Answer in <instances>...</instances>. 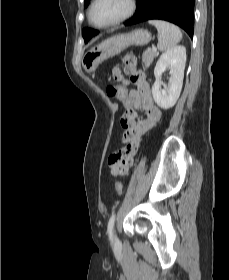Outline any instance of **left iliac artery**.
<instances>
[{"label":"left iliac artery","instance_id":"left-iliac-artery-1","mask_svg":"<svg viewBox=\"0 0 229 280\" xmlns=\"http://www.w3.org/2000/svg\"><path fill=\"white\" fill-rule=\"evenodd\" d=\"M115 214L113 213L109 219V222H108V234H109V238L110 240L112 241L113 240V226H114V221H115Z\"/></svg>","mask_w":229,"mask_h":280}]
</instances>
